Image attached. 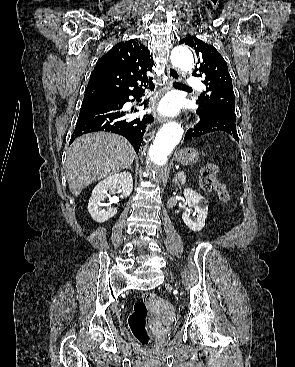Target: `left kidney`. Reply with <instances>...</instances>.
Listing matches in <instances>:
<instances>
[{
    "mask_svg": "<svg viewBox=\"0 0 295 367\" xmlns=\"http://www.w3.org/2000/svg\"><path fill=\"white\" fill-rule=\"evenodd\" d=\"M184 197L189 208H194L197 213L196 220L190 218V209L182 214L183 222L189 229L195 232L201 231L205 226V220L208 215V201L192 189H184Z\"/></svg>",
    "mask_w": 295,
    "mask_h": 367,
    "instance_id": "5707ae66",
    "label": "left kidney"
}]
</instances>
